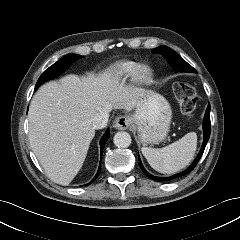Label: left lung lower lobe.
Segmentation results:
<instances>
[{
  "instance_id": "obj_1",
  "label": "left lung lower lobe",
  "mask_w": 240,
  "mask_h": 240,
  "mask_svg": "<svg viewBox=\"0 0 240 240\" xmlns=\"http://www.w3.org/2000/svg\"><path fill=\"white\" fill-rule=\"evenodd\" d=\"M203 131H204V141H203V145H202V148L198 154V156L196 157V159L193 161V163L184 171L178 173V174H175V175H172L170 177H156V176H153L151 175L149 172L146 171V169L144 168V166L142 165V162L139 158V166L141 168V170L148 176L150 177L151 179L155 180V181H170V180H173L175 178H178V177H181V176H184L186 174H188L189 172H191L194 167L196 166V164L198 163V161L200 160L203 152H204V149L206 147V144L209 140V137H210V133H211V123H210V104L208 105L207 107V110H206V113H205V116H204V122H203ZM139 157V156H138Z\"/></svg>"
}]
</instances>
